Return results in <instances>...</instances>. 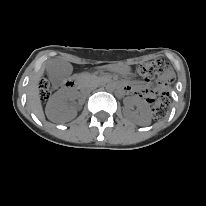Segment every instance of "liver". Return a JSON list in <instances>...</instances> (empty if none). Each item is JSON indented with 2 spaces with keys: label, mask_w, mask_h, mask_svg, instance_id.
Returning a JSON list of instances; mask_svg holds the SVG:
<instances>
[{
  "label": "liver",
  "mask_w": 206,
  "mask_h": 206,
  "mask_svg": "<svg viewBox=\"0 0 206 206\" xmlns=\"http://www.w3.org/2000/svg\"><path fill=\"white\" fill-rule=\"evenodd\" d=\"M44 72V68H42L29 82L28 91H27V105L28 108L40 119L44 120V112L40 99L39 92V81ZM76 116L75 113H71L67 108L54 115L53 117L49 116V119L52 122L56 123H65L72 120Z\"/></svg>",
  "instance_id": "obj_1"
}]
</instances>
